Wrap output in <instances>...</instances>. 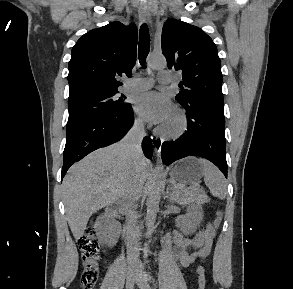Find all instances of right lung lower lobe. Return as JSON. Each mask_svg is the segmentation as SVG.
I'll return each instance as SVG.
<instances>
[{"mask_svg":"<svg viewBox=\"0 0 293 289\" xmlns=\"http://www.w3.org/2000/svg\"><path fill=\"white\" fill-rule=\"evenodd\" d=\"M133 122V110L129 105L123 111L97 116L68 127L61 178L73 163L90 152L121 140ZM142 149L150 159L153 148L149 138H144Z\"/></svg>","mask_w":293,"mask_h":289,"instance_id":"right-lung-lower-lobe-1","label":"right lung lower lobe"}]
</instances>
